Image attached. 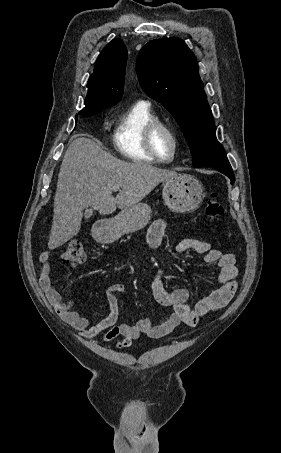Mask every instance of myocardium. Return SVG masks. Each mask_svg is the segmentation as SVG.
Listing matches in <instances>:
<instances>
[{
	"label": "myocardium",
	"instance_id": "1",
	"mask_svg": "<svg viewBox=\"0 0 281 453\" xmlns=\"http://www.w3.org/2000/svg\"><path fill=\"white\" fill-rule=\"evenodd\" d=\"M162 134L167 135L171 140V156L168 159L163 158L157 150V141ZM145 140L149 154L158 162L168 164L176 158L179 138L170 124L160 120L153 122L147 129Z\"/></svg>",
	"mask_w": 281,
	"mask_h": 453
}]
</instances>
